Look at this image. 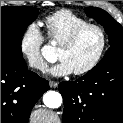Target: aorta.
<instances>
[{
  "mask_svg": "<svg viewBox=\"0 0 123 123\" xmlns=\"http://www.w3.org/2000/svg\"><path fill=\"white\" fill-rule=\"evenodd\" d=\"M50 52H51L50 46H44L42 48V54L44 57H47ZM43 102L46 107L55 109L61 106L62 96L60 93L56 91H48L43 96Z\"/></svg>",
  "mask_w": 123,
  "mask_h": 123,
  "instance_id": "aorta-1",
  "label": "aorta"
}]
</instances>
